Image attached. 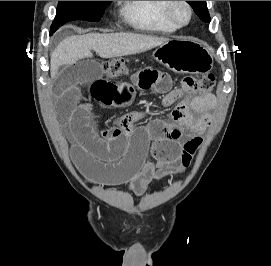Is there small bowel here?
<instances>
[{"label":"small bowel","instance_id":"obj_1","mask_svg":"<svg viewBox=\"0 0 271 266\" xmlns=\"http://www.w3.org/2000/svg\"><path fill=\"white\" fill-rule=\"evenodd\" d=\"M130 79L112 82L94 60L60 65L55 69V110L69 127L73 163L88 181L127 184L131 192L142 195L152 181L182 172L181 139L201 133L210 124L209 110L215 97H190L180 89H171L170 76L150 65L138 68ZM83 86L94 101L113 107L129 105L136 88L164 93L162 105H175L171 121L153 120L136 128L135 123L144 115L132 112L116 119L111 127L98 130L91 121V104L81 102Z\"/></svg>","mask_w":271,"mask_h":266}]
</instances>
